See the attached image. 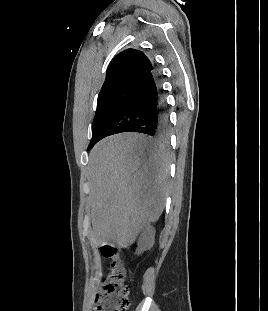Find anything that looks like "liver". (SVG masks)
I'll return each instance as SVG.
<instances>
[{
  "label": "liver",
  "instance_id": "6515ba94",
  "mask_svg": "<svg viewBox=\"0 0 268 311\" xmlns=\"http://www.w3.org/2000/svg\"><path fill=\"white\" fill-rule=\"evenodd\" d=\"M91 244L127 248L165 206L169 157L140 134H117L99 141L89 154Z\"/></svg>",
  "mask_w": 268,
  "mask_h": 311
}]
</instances>
